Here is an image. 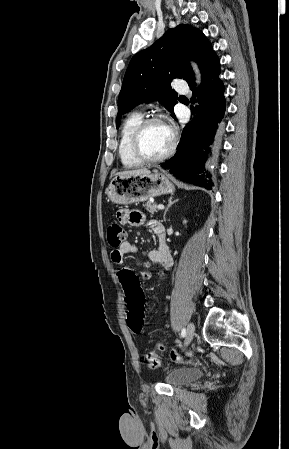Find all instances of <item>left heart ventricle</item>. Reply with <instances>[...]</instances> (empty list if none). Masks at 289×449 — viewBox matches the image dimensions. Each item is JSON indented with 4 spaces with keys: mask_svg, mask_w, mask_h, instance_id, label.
Here are the masks:
<instances>
[{
    "mask_svg": "<svg viewBox=\"0 0 289 449\" xmlns=\"http://www.w3.org/2000/svg\"><path fill=\"white\" fill-rule=\"evenodd\" d=\"M171 143V133L162 123H153L144 131L141 138V148L148 157H158L164 154Z\"/></svg>",
    "mask_w": 289,
    "mask_h": 449,
    "instance_id": "1",
    "label": "left heart ventricle"
}]
</instances>
